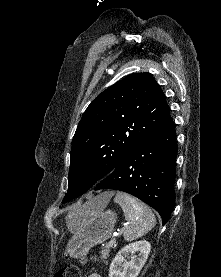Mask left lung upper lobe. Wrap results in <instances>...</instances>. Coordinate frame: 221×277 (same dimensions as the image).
Masks as SVG:
<instances>
[{
    "label": "left lung upper lobe",
    "instance_id": "left-lung-upper-lobe-1",
    "mask_svg": "<svg viewBox=\"0 0 221 277\" xmlns=\"http://www.w3.org/2000/svg\"><path fill=\"white\" fill-rule=\"evenodd\" d=\"M170 115L150 73H135L94 99L72 140L68 191L63 203L108 176L127 153Z\"/></svg>",
    "mask_w": 221,
    "mask_h": 277
}]
</instances>
